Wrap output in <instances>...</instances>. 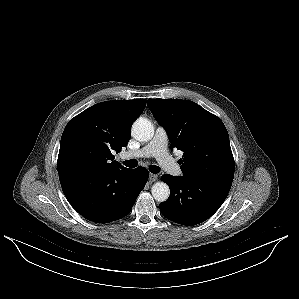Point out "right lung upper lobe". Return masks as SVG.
Returning a JSON list of instances; mask_svg holds the SVG:
<instances>
[{
  "mask_svg": "<svg viewBox=\"0 0 299 299\" xmlns=\"http://www.w3.org/2000/svg\"><path fill=\"white\" fill-rule=\"evenodd\" d=\"M145 106V99L105 101L71 119L60 142L59 176L127 169L114 161L112 152L127 145L132 123Z\"/></svg>",
  "mask_w": 299,
  "mask_h": 299,
  "instance_id": "1",
  "label": "right lung upper lobe"
}]
</instances>
